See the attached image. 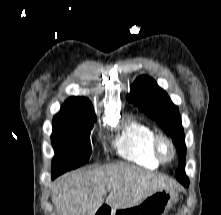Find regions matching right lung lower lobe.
Segmentation results:
<instances>
[{
	"instance_id": "right-lung-lower-lobe-1",
	"label": "right lung lower lobe",
	"mask_w": 221,
	"mask_h": 215,
	"mask_svg": "<svg viewBox=\"0 0 221 215\" xmlns=\"http://www.w3.org/2000/svg\"><path fill=\"white\" fill-rule=\"evenodd\" d=\"M54 178H56V177L52 176V179H54Z\"/></svg>"
}]
</instances>
